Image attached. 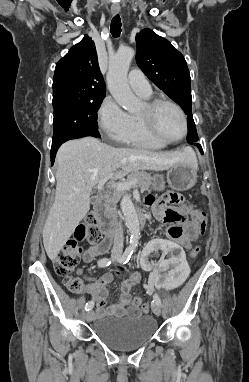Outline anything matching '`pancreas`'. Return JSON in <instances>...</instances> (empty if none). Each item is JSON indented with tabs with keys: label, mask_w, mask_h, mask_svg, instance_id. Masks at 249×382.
<instances>
[{
	"label": "pancreas",
	"mask_w": 249,
	"mask_h": 382,
	"mask_svg": "<svg viewBox=\"0 0 249 382\" xmlns=\"http://www.w3.org/2000/svg\"><path fill=\"white\" fill-rule=\"evenodd\" d=\"M133 180H137V186L140 187L143 190H149L154 187L153 178L151 175L147 172H132L130 175H128L126 182H130ZM125 194L124 190H117L114 189L113 195L111 197V203L115 207L116 204L119 202L121 197Z\"/></svg>",
	"instance_id": "obj_1"
}]
</instances>
